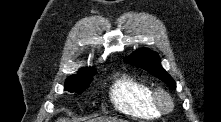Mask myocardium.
Here are the masks:
<instances>
[{
  "label": "myocardium",
  "mask_w": 221,
  "mask_h": 122,
  "mask_svg": "<svg viewBox=\"0 0 221 122\" xmlns=\"http://www.w3.org/2000/svg\"><path fill=\"white\" fill-rule=\"evenodd\" d=\"M152 102L160 113H168L174 108V100L171 94L163 87L152 90Z\"/></svg>",
  "instance_id": "myocardium-1"
}]
</instances>
